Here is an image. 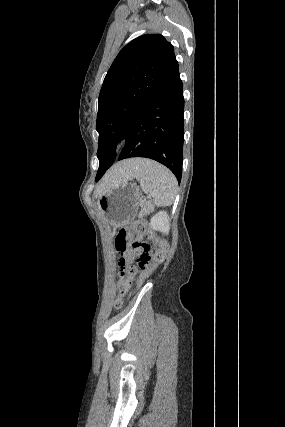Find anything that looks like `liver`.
Wrapping results in <instances>:
<instances>
[{"instance_id":"obj_1","label":"liver","mask_w":285,"mask_h":427,"mask_svg":"<svg viewBox=\"0 0 285 427\" xmlns=\"http://www.w3.org/2000/svg\"><path fill=\"white\" fill-rule=\"evenodd\" d=\"M143 160L130 159L114 165L102 178L97 188V194L101 195L112 186L133 179Z\"/></svg>"}]
</instances>
